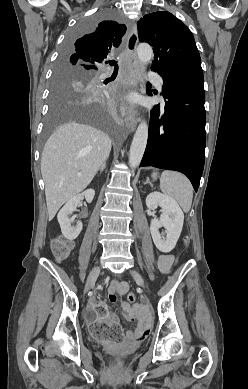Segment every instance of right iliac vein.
<instances>
[{
  "label": "right iliac vein",
  "instance_id": "obj_1",
  "mask_svg": "<svg viewBox=\"0 0 248 389\" xmlns=\"http://www.w3.org/2000/svg\"><path fill=\"white\" fill-rule=\"evenodd\" d=\"M100 271H101V267L100 266H96L90 272V274L88 276V279H87V283H86V287H85V292H87L89 290V288L95 283V281H96Z\"/></svg>",
  "mask_w": 248,
  "mask_h": 389
}]
</instances>
